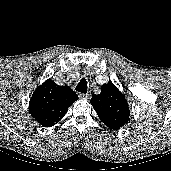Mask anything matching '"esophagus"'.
Returning <instances> with one entry per match:
<instances>
[{"instance_id":"obj_1","label":"esophagus","mask_w":171,"mask_h":171,"mask_svg":"<svg viewBox=\"0 0 171 171\" xmlns=\"http://www.w3.org/2000/svg\"><path fill=\"white\" fill-rule=\"evenodd\" d=\"M79 98L83 99V100H88L90 99V94H84V93H79Z\"/></svg>"}]
</instances>
